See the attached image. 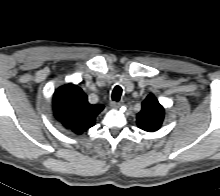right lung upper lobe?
I'll return each mask as SVG.
<instances>
[{
  "mask_svg": "<svg viewBox=\"0 0 220 196\" xmlns=\"http://www.w3.org/2000/svg\"><path fill=\"white\" fill-rule=\"evenodd\" d=\"M52 104L55 117L76 134L94 126L96 116L104 109L101 104L88 103L83 90L71 83L55 91Z\"/></svg>",
  "mask_w": 220,
  "mask_h": 196,
  "instance_id": "obj_1",
  "label": "right lung upper lobe"
}]
</instances>
